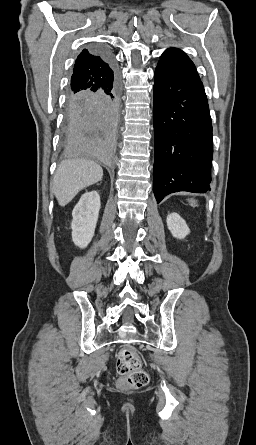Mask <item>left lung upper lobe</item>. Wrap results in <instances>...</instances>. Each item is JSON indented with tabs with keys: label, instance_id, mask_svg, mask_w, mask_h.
I'll return each mask as SVG.
<instances>
[{
	"label": "left lung upper lobe",
	"instance_id": "obj_1",
	"mask_svg": "<svg viewBox=\"0 0 256 445\" xmlns=\"http://www.w3.org/2000/svg\"><path fill=\"white\" fill-rule=\"evenodd\" d=\"M159 63L169 65L170 67L192 77L199 78L194 63L181 50L176 48L167 49L162 55Z\"/></svg>",
	"mask_w": 256,
	"mask_h": 445
}]
</instances>
